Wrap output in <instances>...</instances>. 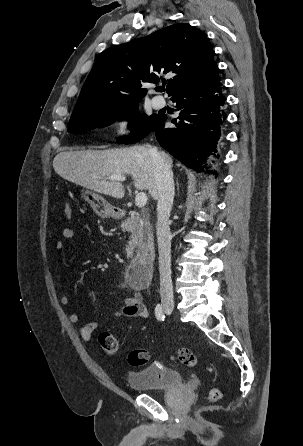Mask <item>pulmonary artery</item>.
Here are the masks:
<instances>
[{
	"label": "pulmonary artery",
	"instance_id": "1",
	"mask_svg": "<svg viewBox=\"0 0 303 446\" xmlns=\"http://www.w3.org/2000/svg\"><path fill=\"white\" fill-rule=\"evenodd\" d=\"M165 104H166V102H165L164 98H162L161 96H155L152 99V105L156 109L163 108L165 106Z\"/></svg>",
	"mask_w": 303,
	"mask_h": 446
}]
</instances>
